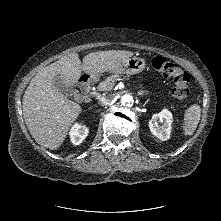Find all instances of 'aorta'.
<instances>
[{"mask_svg":"<svg viewBox=\"0 0 221 221\" xmlns=\"http://www.w3.org/2000/svg\"><path fill=\"white\" fill-rule=\"evenodd\" d=\"M132 101H133V97L131 95L126 94V95L122 96V98H121L122 104L130 103Z\"/></svg>","mask_w":221,"mask_h":221,"instance_id":"aorta-1","label":"aorta"}]
</instances>
